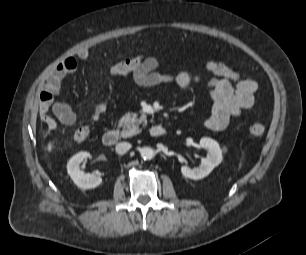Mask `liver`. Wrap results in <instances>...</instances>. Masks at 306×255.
Returning a JSON list of instances; mask_svg holds the SVG:
<instances>
[{"instance_id":"obj_1","label":"liver","mask_w":306,"mask_h":255,"mask_svg":"<svg viewBox=\"0 0 306 255\" xmlns=\"http://www.w3.org/2000/svg\"><path fill=\"white\" fill-rule=\"evenodd\" d=\"M53 148H54L53 142H51V141L48 142V144H47V151L48 152H52Z\"/></svg>"}]
</instances>
